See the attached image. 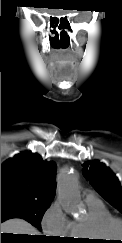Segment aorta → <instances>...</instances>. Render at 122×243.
<instances>
[{"label":"aorta","mask_w":122,"mask_h":243,"mask_svg":"<svg viewBox=\"0 0 122 243\" xmlns=\"http://www.w3.org/2000/svg\"><path fill=\"white\" fill-rule=\"evenodd\" d=\"M58 198L63 209L70 215L81 211V199L76 175L68 168L62 169L57 176Z\"/></svg>","instance_id":"aorta-1"}]
</instances>
